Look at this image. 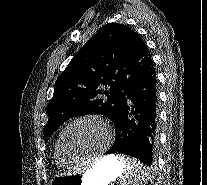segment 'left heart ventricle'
I'll return each instance as SVG.
<instances>
[{
    "mask_svg": "<svg viewBox=\"0 0 207 185\" xmlns=\"http://www.w3.org/2000/svg\"><path fill=\"white\" fill-rule=\"evenodd\" d=\"M107 129L98 121L84 120L73 125L65 138L68 151L75 157H81L102 150L109 139Z\"/></svg>",
    "mask_w": 207,
    "mask_h": 185,
    "instance_id": "b2bd125f",
    "label": "left heart ventricle"
}]
</instances>
